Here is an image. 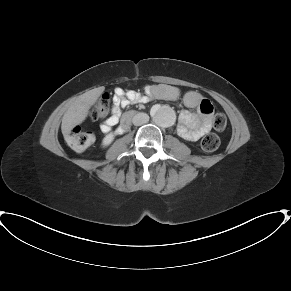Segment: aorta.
Wrapping results in <instances>:
<instances>
[{
    "mask_svg": "<svg viewBox=\"0 0 291 291\" xmlns=\"http://www.w3.org/2000/svg\"><path fill=\"white\" fill-rule=\"evenodd\" d=\"M153 121L160 127H170L175 121V112L168 106H156L152 109Z\"/></svg>",
    "mask_w": 291,
    "mask_h": 291,
    "instance_id": "1",
    "label": "aorta"
}]
</instances>
